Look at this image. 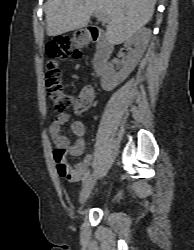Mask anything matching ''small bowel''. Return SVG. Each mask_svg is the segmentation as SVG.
I'll return each instance as SVG.
<instances>
[{
    "instance_id": "small-bowel-1",
    "label": "small bowel",
    "mask_w": 194,
    "mask_h": 250,
    "mask_svg": "<svg viewBox=\"0 0 194 250\" xmlns=\"http://www.w3.org/2000/svg\"><path fill=\"white\" fill-rule=\"evenodd\" d=\"M95 97V89L92 85H84L77 97V105L74 108L76 115L84 114L92 105ZM69 123L75 141L71 142L64 134V125ZM50 135L57 149H63L71 156L82 155L85 148L86 127L80 120H73L68 113H61L54 117L50 127ZM55 158V157H54ZM57 163V172L61 177L66 178L69 182L77 183L81 181L89 171L92 164V156L87 155L81 162L75 164L74 167L67 165V170L64 172L60 167V162L55 158Z\"/></svg>"
}]
</instances>
